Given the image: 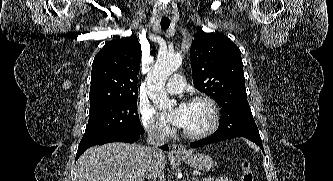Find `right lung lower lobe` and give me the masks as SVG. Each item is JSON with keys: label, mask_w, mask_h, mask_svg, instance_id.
I'll return each mask as SVG.
<instances>
[{"label": "right lung lower lobe", "mask_w": 333, "mask_h": 181, "mask_svg": "<svg viewBox=\"0 0 333 181\" xmlns=\"http://www.w3.org/2000/svg\"><path fill=\"white\" fill-rule=\"evenodd\" d=\"M144 133V132H143ZM142 133V134H143ZM142 134H136V135H129V136H119V137H108V138H103V139H97L91 142H85V143H80L77 151L76 158H79V156L89 147L94 146V145H102L105 143L109 142H126V143H134L136 142L139 137ZM163 150H167L168 146H162Z\"/></svg>", "instance_id": "right-lung-lower-lobe-1"}]
</instances>
